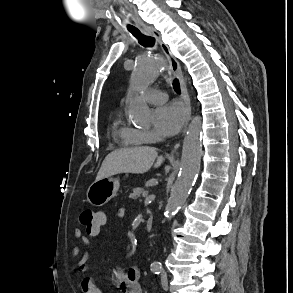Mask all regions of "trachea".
<instances>
[{
	"instance_id": "1",
	"label": "trachea",
	"mask_w": 293,
	"mask_h": 293,
	"mask_svg": "<svg viewBox=\"0 0 293 293\" xmlns=\"http://www.w3.org/2000/svg\"><path fill=\"white\" fill-rule=\"evenodd\" d=\"M138 39V42L144 47H153L155 44V38L152 36L143 35L138 29H128ZM179 80L175 79L173 82V88L176 92H179Z\"/></svg>"
}]
</instances>
